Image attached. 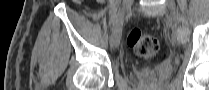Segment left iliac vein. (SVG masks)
Returning a JSON list of instances; mask_svg holds the SVG:
<instances>
[{"label":"left iliac vein","mask_w":209,"mask_h":90,"mask_svg":"<svg viewBox=\"0 0 209 90\" xmlns=\"http://www.w3.org/2000/svg\"><path fill=\"white\" fill-rule=\"evenodd\" d=\"M168 14L173 19L176 20L178 18V11L176 9L175 2L173 0H168L166 3Z\"/></svg>","instance_id":"1"}]
</instances>
